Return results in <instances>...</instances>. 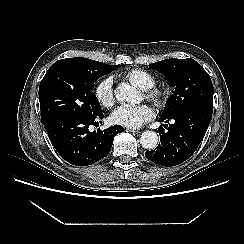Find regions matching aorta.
<instances>
[{"label": "aorta", "mask_w": 244, "mask_h": 244, "mask_svg": "<svg viewBox=\"0 0 244 244\" xmlns=\"http://www.w3.org/2000/svg\"><path fill=\"white\" fill-rule=\"evenodd\" d=\"M115 97L122 104H137L140 102L139 92L132 86L121 83L115 89ZM159 137L154 131H144L140 137V143L143 148L153 150L157 147Z\"/></svg>", "instance_id": "1"}]
</instances>
